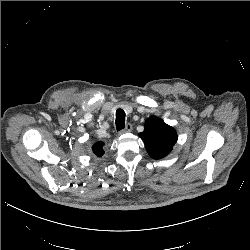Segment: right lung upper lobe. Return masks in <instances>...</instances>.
Instances as JSON below:
<instances>
[{"label":"right lung upper lobe","mask_w":250,"mask_h":250,"mask_svg":"<svg viewBox=\"0 0 250 250\" xmlns=\"http://www.w3.org/2000/svg\"><path fill=\"white\" fill-rule=\"evenodd\" d=\"M103 142H97L93 145L92 150L93 152L98 156L101 157L104 154V150H103Z\"/></svg>","instance_id":"right-lung-upper-lobe-1"}]
</instances>
